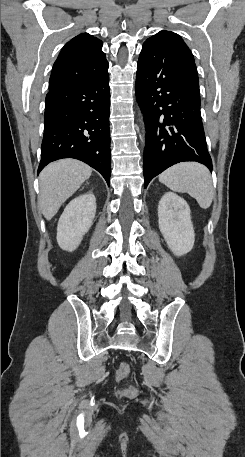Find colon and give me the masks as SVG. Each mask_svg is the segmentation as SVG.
<instances>
[{
	"instance_id": "obj_1",
	"label": "colon",
	"mask_w": 245,
	"mask_h": 457,
	"mask_svg": "<svg viewBox=\"0 0 245 457\" xmlns=\"http://www.w3.org/2000/svg\"><path fill=\"white\" fill-rule=\"evenodd\" d=\"M129 371H130V367L126 362L120 363V365L117 369V372H116L117 380L122 381L123 379H125L128 376ZM135 393H136V389L133 386H127L123 390V394L126 396H132Z\"/></svg>"
}]
</instances>
